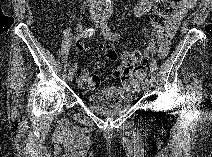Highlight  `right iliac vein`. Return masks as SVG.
Segmentation results:
<instances>
[{
	"label": "right iliac vein",
	"instance_id": "1",
	"mask_svg": "<svg viewBox=\"0 0 212 157\" xmlns=\"http://www.w3.org/2000/svg\"><path fill=\"white\" fill-rule=\"evenodd\" d=\"M90 19H92V20H94L96 22H98V20H99V18L95 14L90 15ZM73 77H74V72H69V74L67 76L68 81L69 82L72 81Z\"/></svg>",
	"mask_w": 212,
	"mask_h": 157
}]
</instances>
